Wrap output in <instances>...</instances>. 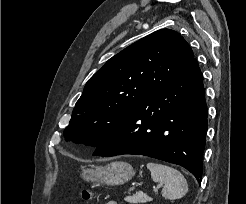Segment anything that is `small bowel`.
Masks as SVG:
<instances>
[{
  "instance_id": "small-bowel-1",
  "label": "small bowel",
  "mask_w": 246,
  "mask_h": 204,
  "mask_svg": "<svg viewBox=\"0 0 246 204\" xmlns=\"http://www.w3.org/2000/svg\"><path fill=\"white\" fill-rule=\"evenodd\" d=\"M105 204H117V203L115 201H109V202H107Z\"/></svg>"
}]
</instances>
